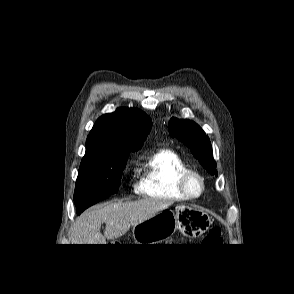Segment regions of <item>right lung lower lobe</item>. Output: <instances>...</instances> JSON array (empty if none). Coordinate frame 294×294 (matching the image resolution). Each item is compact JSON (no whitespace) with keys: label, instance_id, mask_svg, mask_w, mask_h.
<instances>
[{"label":"right lung lower lobe","instance_id":"98d812e1","mask_svg":"<svg viewBox=\"0 0 294 294\" xmlns=\"http://www.w3.org/2000/svg\"><path fill=\"white\" fill-rule=\"evenodd\" d=\"M83 210H77V214H80Z\"/></svg>","mask_w":294,"mask_h":294}]
</instances>
